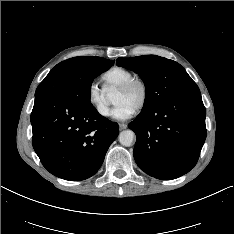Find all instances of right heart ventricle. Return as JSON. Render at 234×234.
I'll list each match as a JSON object with an SVG mask.
<instances>
[{
  "label": "right heart ventricle",
  "instance_id": "e07e8e85",
  "mask_svg": "<svg viewBox=\"0 0 234 234\" xmlns=\"http://www.w3.org/2000/svg\"><path fill=\"white\" fill-rule=\"evenodd\" d=\"M134 77V74L122 67H112L101 76L105 87H119L121 84Z\"/></svg>",
  "mask_w": 234,
  "mask_h": 234
}]
</instances>
